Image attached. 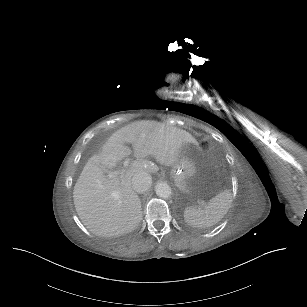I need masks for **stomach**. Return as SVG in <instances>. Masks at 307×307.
Instances as JSON below:
<instances>
[{
    "instance_id": "obj_1",
    "label": "stomach",
    "mask_w": 307,
    "mask_h": 307,
    "mask_svg": "<svg viewBox=\"0 0 307 307\" xmlns=\"http://www.w3.org/2000/svg\"><path fill=\"white\" fill-rule=\"evenodd\" d=\"M200 157L201 148L198 145L187 144L179 161L173 166L171 176L181 191L191 190Z\"/></svg>"
}]
</instances>
